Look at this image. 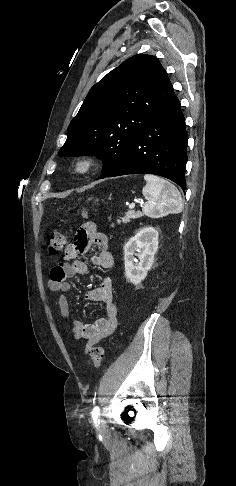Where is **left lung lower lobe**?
Instances as JSON below:
<instances>
[{
    "label": "left lung lower lobe",
    "instance_id": "obj_1",
    "mask_svg": "<svg viewBox=\"0 0 236 486\" xmlns=\"http://www.w3.org/2000/svg\"><path fill=\"white\" fill-rule=\"evenodd\" d=\"M187 132L181 104L175 93L166 105L132 140L128 150L102 177L127 174H155L186 189Z\"/></svg>",
    "mask_w": 236,
    "mask_h": 486
}]
</instances>
